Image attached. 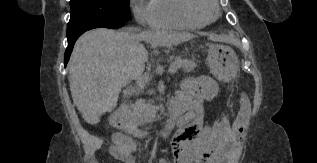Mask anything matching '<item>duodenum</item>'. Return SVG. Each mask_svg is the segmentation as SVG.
Wrapping results in <instances>:
<instances>
[{
    "label": "duodenum",
    "mask_w": 317,
    "mask_h": 163,
    "mask_svg": "<svg viewBox=\"0 0 317 163\" xmlns=\"http://www.w3.org/2000/svg\"><path fill=\"white\" fill-rule=\"evenodd\" d=\"M176 118H177V115L174 114L173 112H170L164 124V127L157 131V135L163 139L168 138L172 131L173 124ZM110 123L112 127L124 133H130L136 136H143L141 129L138 128L129 119L127 114V108L125 105L121 106L119 109L113 112V114L110 117ZM121 138H124V137H121ZM121 138H118V142L115 145V147H117V145L120 143Z\"/></svg>",
    "instance_id": "1"
}]
</instances>
